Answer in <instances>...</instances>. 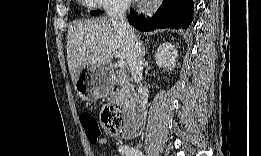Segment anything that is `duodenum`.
I'll return each mask as SVG.
<instances>
[{"label": "duodenum", "mask_w": 261, "mask_h": 156, "mask_svg": "<svg viewBox=\"0 0 261 156\" xmlns=\"http://www.w3.org/2000/svg\"><path fill=\"white\" fill-rule=\"evenodd\" d=\"M118 77L125 78L126 76L119 73ZM141 101L137 104L129 99H120L115 104L122 108L125 112H132L135 118V122L138 126H141L144 121L145 111L147 107V95L145 91L141 92Z\"/></svg>", "instance_id": "410a0bca"}]
</instances>
